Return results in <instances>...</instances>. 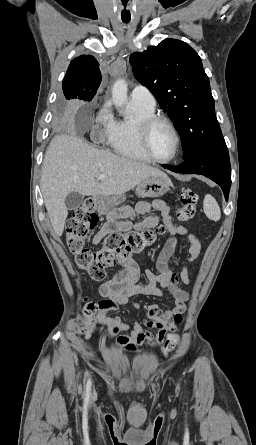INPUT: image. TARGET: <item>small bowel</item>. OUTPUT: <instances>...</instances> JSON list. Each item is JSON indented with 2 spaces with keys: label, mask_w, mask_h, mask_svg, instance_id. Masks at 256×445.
I'll return each mask as SVG.
<instances>
[{
  "label": "small bowel",
  "mask_w": 256,
  "mask_h": 445,
  "mask_svg": "<svg viewBox=\"0 0 256 445\" xmlns=\"http://www.w3.org/2000/svg\"><path fill=\"white\" fill-rule=\"evenodd\" d=\"M151 207L158 211L159 215L144 218L137 227L140 229L151 228L162 221L171 235L157 257V273L148 271L145 273L144 281H140L139 268L135 261L130 258L120 260L123 270L99 287L104 299L99 304L96 318L98 322L107 324L113 335L119 332H129L128 335H121L117 338V344L129 352L137 351L142 346H155L164 339L168 330H173L180 323L177 318L184 312L190 295L179 287L178 279L184 284L191 282L187 265L197 260L201 249L199 240L188 228L177 225L171 220L168 206L164 201L154 200ZM147 208L146 203H139L136 211L141 213ZM132 226L131 221L108 222L93 236L92 244L96 246L107 234L126 232ZM178 235L183 236L189 246L185 264L182 266L179 276L172 270L173 255L178 245L176 236ZM137 295L166 297L174 306L164 309L157 304H146L143 306L145 317L141 321L124 322L118 316H107L109 311L116 310L117 306L127 305L130 298ZM133 306L140 308L138 303H133ZM145 328H158V333L154 336Z\"/></svg>",
  "instance_id": "c3829d8e"
}]
</instances>
